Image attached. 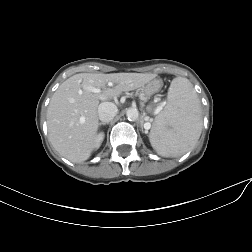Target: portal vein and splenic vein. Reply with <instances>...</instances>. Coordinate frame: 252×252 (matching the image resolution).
<instances>
[{"instance_id": "portal-vein-and-splenic-vein-1", "label": "portal vein and splenic vein", "mask_w": 252, "mask_h": 252, "mask_svg": "<svg viewBox=\"0 0 252 252\" xmlns=\"http://www.w3.org/2000/svg\"><path fill=\"white\" fill-rule=\"evenodd\" d=\"M91 91H92V92H95V93H100V92H101V90H100V89H97V88H91ZM159 110H160V109L157 108L155 113H157ZM146 119H148V118H146ZM145 127H146L147 129H149V128H150V123H149V122H146V123H145Z\"/></svg>"}]
</instances>
